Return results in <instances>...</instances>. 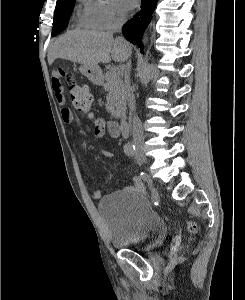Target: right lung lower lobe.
Returning a JSON list of instances; mask_svg holds the SVG:
<instances>
[{
	"label": "right lung lower lobe",
	"instance_id": "98d812e1",
	"mask_svg": "<svg viewBox=\"0 0 245 300\" xmlns=\"http://www.w3.org/2000/svg\"><path fill=\"white\" fill-rule=\"evenodd\" d=\"M157 0H142L141 10L124 24L122 32L124 37L141 48L143 52L142 36L145 28L152 19V13L156 7Z\"/></svg>",
	"mask_w": 245,
	"mask_h": 300
}]
</instances>
